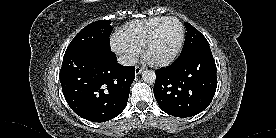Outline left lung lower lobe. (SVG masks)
<instances>
[{
	"label": "left lung lower lobe",
	"instance_id": "left-lung-lower-lobe-1",
	"mask_svg": "<svg viewBox=\"0 0 276 138\" xmlns=\"http://www.w3.org/2000/svg\"><path fill=\"white\" fill-rule=\"evenodd\" d=\"M216 88L215 60L210 47H203L157 71L154 95L167 114L191 117L211 103Z\"/></svg>",
	"mask_w": 276,
	"mask_h": 138
}]
</instances>
